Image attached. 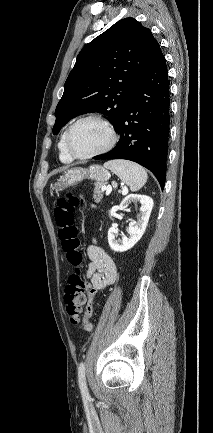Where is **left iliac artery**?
<instances>
[{
	"mask_svg": "<svg viewBox=\"0 0 213 433\" xmlns=\"http://www.w3.org/2000/svg\"><path fill=\"white\" fill-rule=\"evenodd\" d=\"M78 382H79V387L83 398L89 399V393H88L86 378H85V365L83 362H81L78 367Z\"/></svg>",
	"mask_w": 213,
	"mask_h": 433,
	"instance_id": "1",
	"label": "left iliac artery"
}]
</instances>
